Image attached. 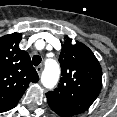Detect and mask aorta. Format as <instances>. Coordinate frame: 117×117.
Segmentation results:
<instances>
[{"label":"aorta","instance_id":"obj_1","mask_svg":"<svg viewBox=\"0 0 117 117\" xmlns=\"http://www.w3.org/2000/svg\"><path fill=\"white\" fill-rule=\"evenodd\" d=\"M60 76V67L57 61L48 59L45 62V68L42 73L41 82L48 89L54 88Z\"/></svg>","mask_w":117,"mask_h":117}]
</instances>
